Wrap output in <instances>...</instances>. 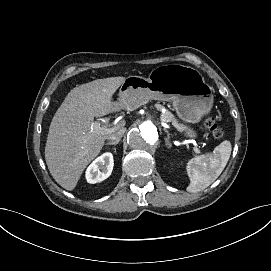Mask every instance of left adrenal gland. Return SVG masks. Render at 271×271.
Listing matches in <instances>:
<instances>
[{
    "mask_svg": "<svg viewBox=\"0 0 271 271\" xmlns=\"http://www.w3.org/2000/svg\"><path fill=\"white\" fill-rule=\"evenodd\" d=\"M164 130H165V132H166V134H167V140H166L165 145H166L167 147H169V145H170V143H169V140H170V134H169V132L167 131V129H164Z\"/></svg>",
    "mask_w": 271,
    "mask_h": 271,
    "instance_id": "obj_1",
    "label": "left adrenal gland"
}]
</instances>
